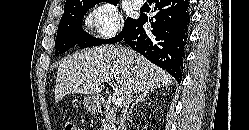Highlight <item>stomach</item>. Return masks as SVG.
<instances>
[{"label":"stomach","mask_w":249,"mask_h":130,"mask_svg":"<svg viewBox=\"0 0 249 130\" xmlns=\"http://www.w3.org/2000/svg\"><path fill=\"white\" fill-rule=\"evenodd\" d=\"M84 108L91 113H95L99 109V99L95 95L86 96L83 100Z\"/></svg>","instance_id":"1"}]
</instances>
